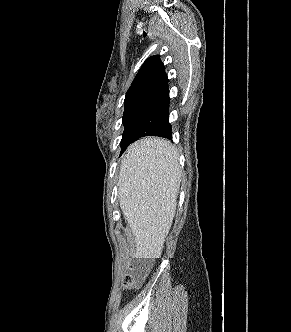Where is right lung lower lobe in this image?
<instances>
[{"label":"right lung lower lobe","mask_w":291,"mask_h":332,"mask_svg":"<svg viewBox=\"0 0 291 332\" xmlns=\"http://www.w3.org/2000/svg\"><path fill=\"white\" fill-rule=\"evenodd\" d=\"M168 85L147 96L124 131L122 152L135 140L143 136L170 138Z\"/></svg>","instance_id":"right-lung-lower-lobe-1"}]
</instances>
